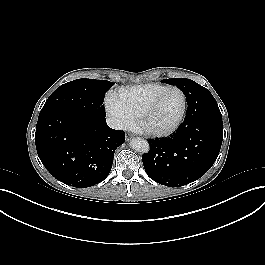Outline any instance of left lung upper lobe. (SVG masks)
Wrapping results in <instances>:
<instances>
[{
	"mask_svg": "<svg viewBox=\"0 0 265 265\" xmlns=\"http://www.w3.org/2000/svg\"><path fill=\"white\" fill-rule=\"evenodd\" d=\"M162 82L168 83L171 85H176L184 93L185 96H187V94L190 93L191 90L194 88H204L200 86L199 84H197L196 82L190 79H186V78L164 79L162 80ZM207 93H208L209 99H211L212 101H215L214 97L208 90H207Z\"/></svg>",
	"mask_w": 265,
	"mask_h": 265,
	"instance_id": "obj_1",
	"label": "left lung upper lobe"
}]
</instances>
